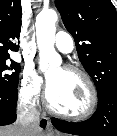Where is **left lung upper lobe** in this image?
<instances>
[{
    "mask_svg": "<svg viewBox=\"0 0 117 136\" xmlns=\"http://www.w3.org/2000/svg\"><path fill=\"white\" fill-rule=\"evenodd\" d=\"M98 96L117 83V14L110 0H55Z\"/></svg>",
    "mask_w": 117,
    "mask_h": 136,
    "instance_id": "5c2ea615",
    "label": "left lung upper lobe"
}]
</instances>
